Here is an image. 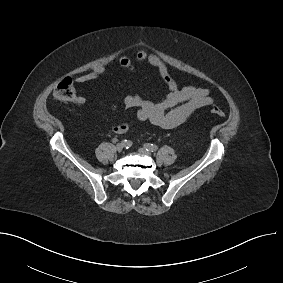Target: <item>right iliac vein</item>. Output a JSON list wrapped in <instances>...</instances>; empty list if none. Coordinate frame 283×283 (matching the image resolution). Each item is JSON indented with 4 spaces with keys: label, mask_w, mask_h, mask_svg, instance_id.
<instances>
[{
    "label": "right iliac vein",
    "mask_w": 283,
    "mask_h": 283,
    "mask_svg": "<svg viewBox=\"0 0 283 283\" xmlns=\"http://www.w3.org/2000/svg\"><path fill=\"white\" fill-rule=\"evenodd\" d=\"M123 149H124V145H123L122 143H118V144L116 145V150H117L118 152H121Z\"/></svg>",
    "instance_id": "63e3f726"
}]
</instances>
